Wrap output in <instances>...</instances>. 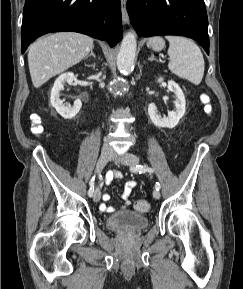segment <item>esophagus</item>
Segmentation results:
<instances>
[{
  "label": "esophagus",
  "instance_id": "34e87169",
  "mask_svg": "<svg viewBox=\"0 0 243 289\" xmlns=\"http://www.w3.org/2000/svg\"><path fill=\"white\" fill-rule=\"evenodd\" d=\"M120 2H121L122 21L124 24H129V15L126 8L127 0H120Z\"/></svg>",
  "mask_w": 243,
  "mask_h": 289
}]
</instances>
